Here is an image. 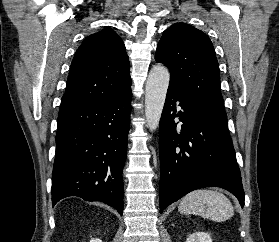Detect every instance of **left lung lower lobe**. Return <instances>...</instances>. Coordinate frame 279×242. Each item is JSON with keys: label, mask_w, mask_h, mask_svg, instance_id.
<instances>
[{"label": "left lung lower lobe", "mask_w": 279, "mask_h": 242, "mask_svg": "<svg viewBox=\"0 0 279 242\" xmlns=\"http://www.w3.org/2000/svg\"><path fill=\"white\" fill-rule=\"evenodd\" d=\"M178 117L182 124L175 123ZM160 213L187 193L217 186L244 205V190L228 124L169 84L159 130Z\"/></svg>", "instance_id": "left-lung-lower-lobe-1"}]
</instances>
